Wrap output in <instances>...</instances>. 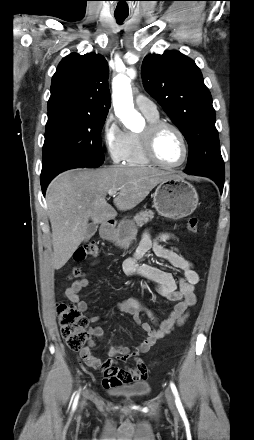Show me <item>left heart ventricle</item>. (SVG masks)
Returning <instances> with one entry per match:
<instances>
[{"label":"left heart ventricle","mask_w":254,"mask_h":440,"mask_svg":"<svg viewBox=\"0 0 254 440\" xmlns=\"http://www.w3.org/2000/svg\"><path fill=\"white\" fill-rule=\"evenodd\" d=\"M156 150L159 158L167 164H177L183 158L181 139L169 128L160 132L156 142Z\"/></svg>","instance_id":"b2bd125f"}]
</instances>
